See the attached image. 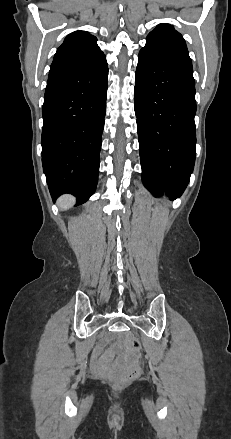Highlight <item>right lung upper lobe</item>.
I'll return each instance as SVG.
<instances>
[{
  "label": "right lung upper lobe",
  "instance_id": "1",
  "mask_svg": "<svg viewBox=\"0 0 231 439\" xmlns=\"http://www.w3.org/2000/svg\"><path fill=\"white\" fill-rule=\"evenodd\" d=\"M97 39L86 31L69 34L54 56L48 79L85 70L105 55L96 43Z\"/></svg>",
  "mask_w": 231,
  "mask_h": 439
}]
</instances>
